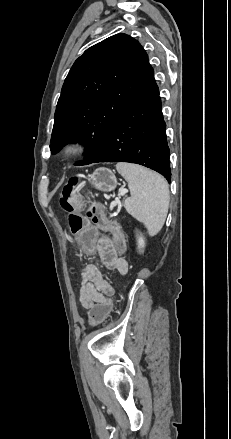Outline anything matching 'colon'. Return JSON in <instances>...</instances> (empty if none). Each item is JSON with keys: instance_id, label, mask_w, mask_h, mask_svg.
<instances>
[{"instance_id": "1", "label": "colon", "mask_w": 231, "mask_h": 439, "mask_svg": "<svg viewBox=\"0 0 231 439\" xmlns=\"http://www.w3.org/2000/svg\"><path fill=\"white\" fill-rule=\"evenodd\" d=\"M78 181L79 178L74 177L64 187L60 198V205L68 212L69 230L75 236L77 243L83 248L85 262H92L94 257L93 240L95 227L110 229L114 234L118 249L123 252L125 244L121 230L115 221L107 217L100 204L90 202L86 207V216L81 215L82 204L74 194ZM115 299V294L110 293L106 298L90 306L88 308L90 323H104L108 320L115 309Z\"/></svg>"}]
</instances>
